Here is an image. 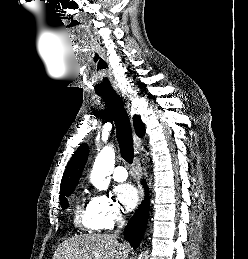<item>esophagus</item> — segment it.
Masks as SVG:
<instances>
[{
  "instance_id": "34e87169",
  "label": "esophagus",
  "mask_w": 248,
  "mask_h": 259,
  "mask_svg": "<svg viewBox=\"0 0 248 259\" xmlns=\"http://www.w3.org/2000/svg\"><path fill=\"white\" fill-rule=\"evenodd\" d=\"M117 93L124 99L128 111H131L132 108H131L130 102L127 100V98L122 94L121 91H117ZM133 144H134V159H133L132 168H133L135 177L137 179L140 199L142 201L144 199L145 194H144L143 187L140 184L141 172H140V164H139V158H138V153H139V150H140V147H141V139L135 133L133 134Z\"/></svg>"
}]
</instances>
